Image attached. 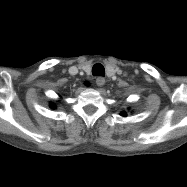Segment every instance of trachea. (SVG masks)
<instances>
[{
	"label": "trachea",
	"mask_w": 187,
	"mask_h": 187,
	"mask_svg": "<svg viewBox=\"0 0 187 187\" xmlns=\"http://www.w3.org/2000/svg\"><path fill=\"white\" fill-rule=\"evenodd\" d=\"M93 76H105L104 66L100 63H97L92 68Z\"/></svg>",
	"instance_id": "1"
}]
</instances>
